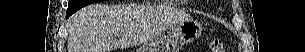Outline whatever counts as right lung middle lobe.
Instances as JSON below:
<instances>
[{"label": "right lung middle lobe", "mask_w": 305, "mask_h": 52, "mask_svg": "<svg viewBox=\"0 0 305 52\" xmlns=\"http://www.w3.org/2000/svg\"><path fill=\"white\" fill-rule=\"evenodd\" d=\"M100 1H104V0H69L68 9L76 12L77 10H79L80 8H82L86 5L100 2Z\"/></svg>", "instance_id": "dd1d6c3e"}]
</instances>
